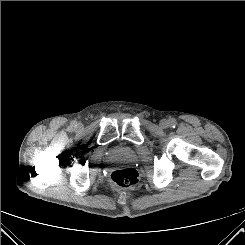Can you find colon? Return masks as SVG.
Listing matches in <instances>:
<instances>
[{"mask_svg": "<svg viewBox=\"0 0 245 245\" xmlns=\"http://www.w3.org/2000/svg\"><path fill=\"white\" fill-rule=\"evenodd\" d=\"M112 182L120 188H132L138 182V173L130 167L118 168L111 173Z\"/></svg>", "mask_w": 245, "mask_h": 245, "instance_id": "colon-1", "label": "colon"}]
</instances>
